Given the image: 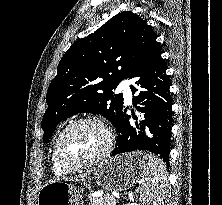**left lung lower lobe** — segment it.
I'll use <instances>...</instances> for the list:
<instances>
[{"label": "left lung lower lobe", "mask_w": 222, "mask_h": 205, "mask_svg": "<svg viewBox=\"0 0 222 205\" xmlns=\"http://www.w3.org/2000/svg\"><path fill=\"white\" fill-rule=\"evenodd\" d=\"M157 35L152 33L136 62L131 67L127 78H139L136 85L147 88L148 91L140 92L133 97V104L141 103L146 107L136 108L145 113L146 118L138 126L137 118L134 125L130 124V116L126 110H122L115 123L117 143L112 156L129 153L132 151L148 150L160 156L168 163L170 152V137L172 128V100L170 84L165 74L167 67L165 60L161 58L162 51L156 41ZM132 94L138 90L130 86ZM138 129V130H137ZM163 155V157H161Z\"/></svg>", "instance_id": "obj_1"}]
</instances>
